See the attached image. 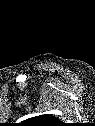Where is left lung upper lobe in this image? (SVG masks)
Returning <instances> with one entry per match:
<instances>
[{"instance_id":"1","label":"left lung upper lobe","mask_w":95,"mask_h":126,"mask_svg":"<svg viewBox=\"0 0 95 126\" xmlns=\"http://www.w3.org/2000/svg\"><path fill=\"white\" fill-rule=\"evenodd\" d=\"M28 124L32 126H57L58 124V119L49 114H44V115H39L33 118H30L27 120Z\"/></svg>"}]
</instances>
